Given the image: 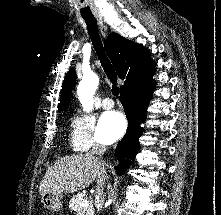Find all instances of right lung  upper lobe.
Instances as JSON below:
<instances>
[{
	"label": "right lung upper lobe",
	"instance_id": "obj_1",
	"mask_svg": "<svg viewBox=\"0 0 221 215\" xmlns=\"http://www.w3.org/2000/svg\"><path fill=\"white\" fill-rule=\"evenodd\" d=\"M105 49L111 59L119 78L124 80L121 91L126 90L155 72V63L150 53L141 44L127 40L116 33H111L106 42ZM76 74L69 71L63 81L62 93L58 109L64 111L70 102V94L75 84Z\"/></svg>",
	"mask_w": 221,
	"mask_h": 215
}]
</instances>
